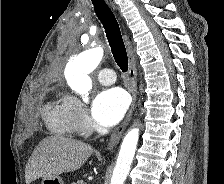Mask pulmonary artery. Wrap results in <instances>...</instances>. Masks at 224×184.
Instances as JSON below:
<instances>
[{
	"label": "pulmonary artery",
	"mask_w": 224,
	"mask_h": 184,
	"mask_svg": "<svg viewBox=\"0 0 224 184\" xmlns=\"http://www.w3.org/2000/svg\"><path fill=\"white\" fill-rule=\"evenodd\" d=\"M97 77L99 82L103 85H111L116 81L115 72L108 68L100 70Z\"/></svg>",
	"instance_id": "e3ab8cb5"
}]
</instances>
